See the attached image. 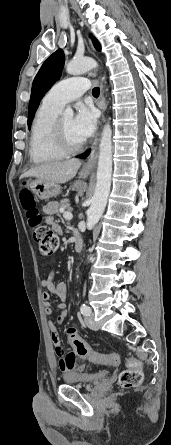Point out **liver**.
Returning a JSON list of instances; mask_svg holds the SVG:
<instances>
[{
    "mask_svg": "<svg viewBox=\"0 0 171 445\" xmlns=\"http://www.w3.org/2000/svg\"><path fill=\"white\" fill-rule=\"evenodd\" d=\"M81 162L70 159L36 166L21 175V178L35 177L54 183H66L75 177Z\"/></svg>",
    "mask_w": 171,
    "mask_h": 445,
    "instance_id": "liver-1",
    "label": "liver"
}]
</instances>
